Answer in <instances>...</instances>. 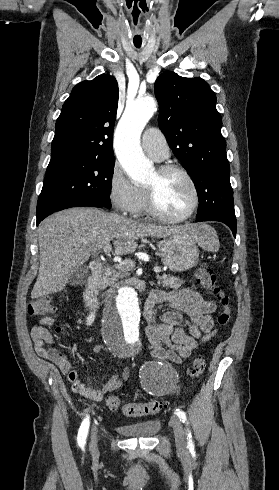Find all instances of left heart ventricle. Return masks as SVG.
I'll return each mask as SVG.
<instances>
[{
    "label": "left heart ventricle",
    "mask_w": 279,
    "mask_h": 490,
    "mask_svg": "<svg viewBox=\"0 0 279 490\" xmlns=\"http://www.w3.org/2000/svg\"><path fill=\"white\" fill-rule=\"evenodd\" d=\"M147 186L155 187L157 203L168 215L180 216L192 205L194 198L192 188L185 177L179 173L160 174L156 170Z\"/></svg>",
    "instance_id": "left-heart-ventricle-1"
}]
</instances>
